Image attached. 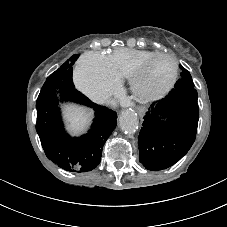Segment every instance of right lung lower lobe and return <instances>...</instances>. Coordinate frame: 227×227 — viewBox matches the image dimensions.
<instances>
[{
  "instance_id": "1",
  "label": "right lung lower lobe",
  "mask_w": 227,
  "mask_h": 227,
  "mask_svg": "<svg viewBox=\"0 0 227 227\" xmlns=\"http://www.w3.org/2000/svg\"><path fill=\"white\" fill-rule=\"evenodd\" d=\"M57 95L95 111L94 123L87 134L72 138L66 133ZM36 109V131L48 159L64 170L79 173L90 171L100 163L103 145L116 127L115 111L93 103L75 88L54 87L40 91Z\"/></svg>"
}]
</instances>
